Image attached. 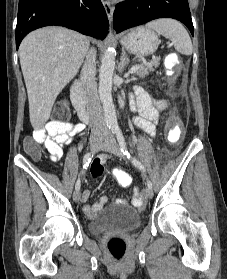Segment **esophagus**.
Segmentation results:
<instances>
[{"mask_svg":"<svg viewBox=\"0 0 227 279\" xmlns=\"http://www.w3.org/2000/svg\"><path fill=\"white\" fill-rule=\"evenodd\" d=\"M103 6L105 8L109 21L112 23L113 14H114V6H113L112 2L108 1V0H103Z\"/></svg>","mask_w":227,"mask_h":279,"instance_id":"34e87169","label":"esophagus"}]
</instances>
